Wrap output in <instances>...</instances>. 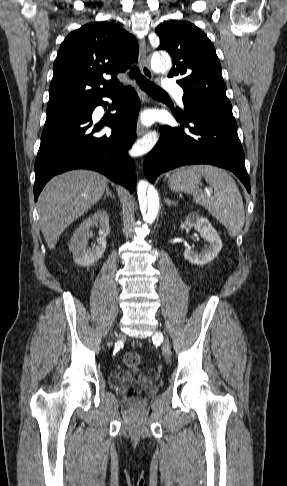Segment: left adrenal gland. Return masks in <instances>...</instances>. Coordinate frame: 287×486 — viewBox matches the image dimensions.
I'll return each instance as SVG.
<instances>
[{
    "label": "left adrenal gland",
    "mask_w": 287,
    "mask_h": 486,
    "mask_svg": "<svg viewBox=\"0 0 287 486\" xmlns=\"http://www.w3.org/2000/svg\"><path fill=\"white\" fill-rule=\"evenodd\" d=\"M165 204H166L167 206H173V205H174V206H176V205H177V202H174V201H172V200H170V199L166 198V199H165Z\"/></svg>",
    "instance_id": "1"
}]
</instances>
